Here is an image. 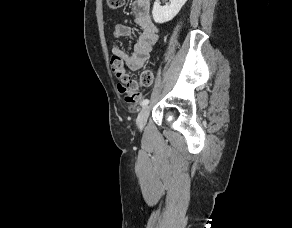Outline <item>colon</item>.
Returning <instances> with one entry per match:
<instances>
[{"label": "colon", "instance_id": "1", "mask_svg": "<svg viewBox=\"0 0 292 228\" xmlns=\"http://www.w3.org/2000/svg\"><path fill=\"white\" fill-rule=\"evenodd\" d=\"M106 3L110 10H118L123 6L124 0H106ZM111 68L118 79V91L124 96L125 101L130 104L139 103L142 98L140 89L151 86L153 82L152 71L143 70L135 80L128 75L119 61L111 60Z\"/></svg>", "mask_w": 292, "mask_h": 228}]
</instances>
